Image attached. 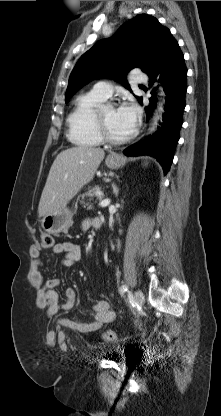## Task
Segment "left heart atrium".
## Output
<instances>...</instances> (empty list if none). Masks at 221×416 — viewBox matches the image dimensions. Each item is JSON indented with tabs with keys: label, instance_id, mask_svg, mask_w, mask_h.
<instances>
[{
	"label": "left heart atrium",
	"instance_id": "left-heart-atrium-1",
	"mask_svg": "<svg viewBox=\"0 0 221 416\" xmlns=\"http://www.w3.org/2000/svg\"><path fill=\"white\" fill-rule=\"evenodd\" d=\"M117 114L127 132L131 134L137 124L139 115L138 107L132 102L124 103L117 109Z\"/></svg>",
	"mask_w": 221,
	"mask_h": 416
}]
</instances>
